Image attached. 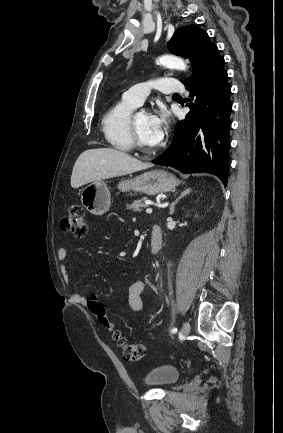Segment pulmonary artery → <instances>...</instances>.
Wrapping results in <instances>:
<instances>
[{"instance_id":"obj_1","label":"pulmonary artery","mask_w":283,"mask_h":433,"mask_svg":"<svg viewBox=\"0 0 283 433\" xmlns=\"http://www.w3.org/2000/svg\"><path fill=\"white\" fill-rule=\"evenodd\" d=\"M154 85L160 92H180L181 95L187 94L184 83H179L178 78H156ZM150 86L146 83H139L124 93V99L139 106L149 94Z\"/></svg>"}]
</instances>
